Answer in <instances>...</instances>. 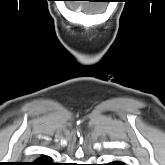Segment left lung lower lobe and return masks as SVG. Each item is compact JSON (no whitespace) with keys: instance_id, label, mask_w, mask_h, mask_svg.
<instances>
[{"instance_id":"1","label":"left lung lower lobe","mask_w":165,"mask_h":165,"mask_svg":"<svg viewBox=\"0 0 165 165\" xmlns=\"http://www.w3.org/2000/svg\"><path fill=\"white\" fill-rule=\"evenodd\" d=\"M109 165H123V164L121 162H113V163H111Z\"/></svg>"}]
</instances>
